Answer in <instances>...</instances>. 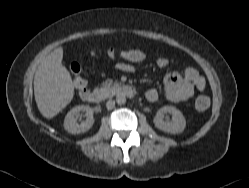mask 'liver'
Returning <instances> with one entry per match:
<instances>
[{"instance_id":"liver-1","label":"liver","mask_w":249,"mask_h":188,"mask_svg":"<svg viewBox=\"0 0 249 188\" xmlns=\"http://www.w3.org/2000/svg\"><path fill=\"white\" fill-rule=\"evenodd\" d=\"M63 47L54 49L39 65L34 76L37 107L45 118H53L74 97V86L67 68L62 65Z\"/></svg>"}]
</instances>
